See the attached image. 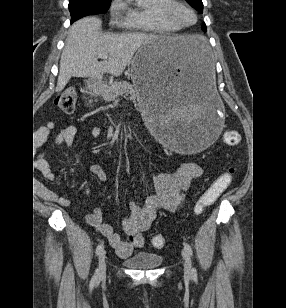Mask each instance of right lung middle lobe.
Returning <instances> with one entry per match:
<instances>
[{
    "label": "right lung middle lobe",
    "mask_w": 286,
    "mask_h": 308,
    "mask_svg": "<svg viewBox=\"0 0 286 308\" xmlns=\"http://www.w3.org/2000/svg\"><path fill=\"white\" fill-rule=\"evenodd\" d=\"M111 0H70L69 11L71 13V22L93 14L107 12Z\"/></svg>",
    "instance_id": "right-lung-middle-lobe-1"
}]
</instances>
